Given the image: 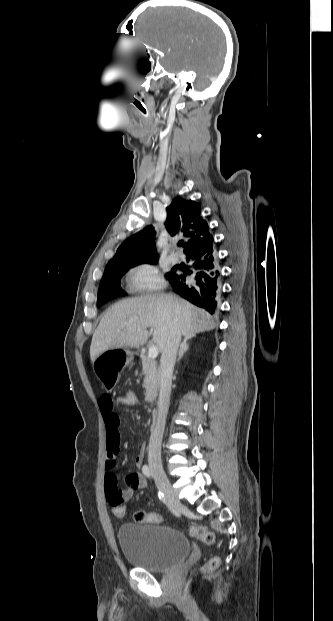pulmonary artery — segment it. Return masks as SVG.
<instances>
[{
    "mask_svg": "<svg viewBox=\"0 0 333 621\" xmlns=\"http://www.w3.org/2000/svg\"><path fill=\"white\" fill-rule=\"evenodd\" d=\"M169 260H170L172 263H178V262H179V260H180V258H179V255H178L177 253H171V254L169 255Z\"/></svg>",
    "mask_w": 333,
    "mask_h": 621,
    "instance_id": "obj_1",
    "label": "pulmonary artery"
}]
</instances>
